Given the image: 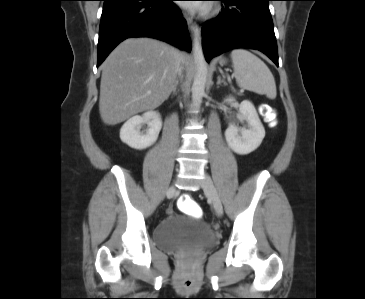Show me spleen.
I'll return each instance as SVG.
<instances>
[{
  "instance_id": "spleen-1",
  "label": "spleen",
  "mask_w": 365,
  "mask_h": 299,
  "mask_svg": "<svg viewBox=\"0 0 365 299\" xmlns=\"http://www.w3.org/2000/svg\"><path fill=\"white\" fill-rule=\"evenodd\" d=\"M234 76L238 85L268 98L276 97V84L267 65L256 55L245 49H235L231 53Z\"/></svg>"
}]
</instances>
